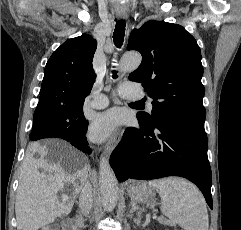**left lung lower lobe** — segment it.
Here are the masks:
<instances>
[{
  "mask_svg": "<svg viewBox=\"0 0 241 230\" xmlns=\"http://www.w3.org/2000/svg\"><path fill=\"white\" fill-rule=\"evenodd\" d=\"M112 152L110 165L119 181L180 176L202 191L212 209L211 168L204 122L163 115L153 125L138 119Z\"/></svg>",
  "mask_w": 241,
  "mask_h": 230,
  "instance_id": "0a47b994",
  "label": "left lung lower lobe"
}]
</instances>
